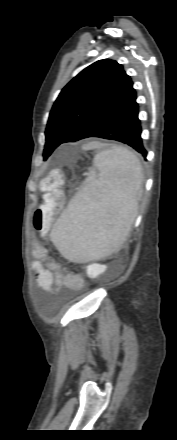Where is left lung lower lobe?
<instances>
[{
  "label": "left lung lower lobe",
  "mask_w": 177,
  "mask_h": 440,
  "mask_svg": "<svg viewBox=\"0 0 177 440\" xmlns=\"http://www.w3.org/2000/svg\"><path fill=\"white\" fill-rule=\"evenodd\" d=\"M141 132L135 94L128 103L83 138L98 137L116 140L131 146L146 158L147 151L142 143Z\"/></svg>",
  "instance_id": "obj_1"
}]
</instances>
